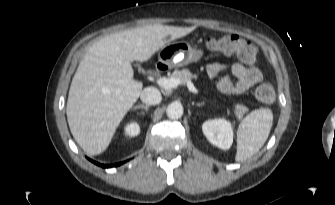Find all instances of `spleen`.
Returning a JSON list of instances; mask_svg holds the SVG:
<instances>
[{
  "label": "spleen",
  "mask_w": 335,
  "mask_h": 205,
  "mask_svg": "<svg viewBox=\"0 0 335 205\" xmlns=\"http://www.w3.org/2000/svg\"><path fill=\"white\" fill-rule=\"evenodd\" d=\"M272 123L273 114L269 108L254 110L242 120L237 129V162L249 159L261 149L268 139Z\"/></svg>",
  "instance_id": "3e777b00"
}]
</instances>
